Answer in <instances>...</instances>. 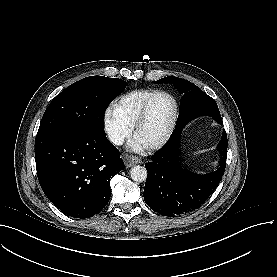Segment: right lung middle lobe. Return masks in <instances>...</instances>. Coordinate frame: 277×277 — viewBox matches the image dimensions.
Returning a JSON list of instances; mask_svg holds the SVG:
<instances>
[{"label": "right lung middle lobe", "instance_id": "1", "mask_svg": "<svg viewBox=\"0 0 277 277\" xmlns=\"http://www.w3.org/2000/svg\"><path fill=\"white\" fill-rule=\"evenodd\" d=\"M126 85L121 79L104 76H90L71 84L49 104L37 137L103 131L104 112Z\"/></svg>", "mask_w": 277, "mask_h": 277}]
</instances>
